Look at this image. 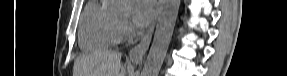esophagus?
<instances>
[{
    "mask_svg": "<svg viewBox=\"0 0 287 76\" xmlns=\"http://www.w3.org/2000/svg\"><path fill=\"white\" fill-rule=\"evenodd\" d=\"M155 23L149 28V30L144 34L141 41L130 50L129 59L135 62H141L149 48L152 35L154 32Z\"/></svg>",
    "mask_w": 287,
    "mask_h": 76,
    "instance_id": "1",
    "label": "esophagus"
}]
</instances>
